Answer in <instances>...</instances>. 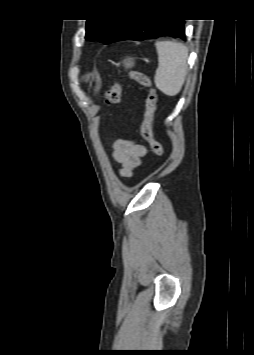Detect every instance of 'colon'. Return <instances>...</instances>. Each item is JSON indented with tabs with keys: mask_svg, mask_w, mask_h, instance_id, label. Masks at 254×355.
<instances>
[{
	"mask_svg": "<svg viewBox=\"0 0 254 355\" xmlns=\"http://www.w3.org/2000/svg\"><path fill=\"white\" fill-rule=\"evenodd\" d=\"M127 77L136 81L148 89L145 101L144 117L141 126L143 139L149 144L154 155L161 157L164 154V147L161 142L156 140L153 132V121L157 110V92L153 87L150 78L142 72L131 71ZM122 95L121 78L118 77L113 85L105 92L104 98L108 105H116L120 102Z\"/></svg>",
	"mask_w": 254,
	"mask_h": 355,
	"instance_id": "1",
	"label": "colon"
}]
</instances>
